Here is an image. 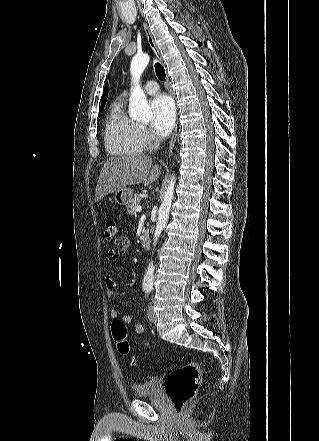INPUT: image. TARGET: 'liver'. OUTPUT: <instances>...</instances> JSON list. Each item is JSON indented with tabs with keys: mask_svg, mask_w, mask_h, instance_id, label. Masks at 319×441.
I'll return each instance as SVG.
<instances>
[{
	"mask_svg": "<svg viewBox=\"0 0 319 441\" xmlns=\"http://www.w3.org/2000/svg\"><path fill=\"white\" fill-rule=\"evenodd\" d=\"M152 158L145 155L110 157L101 169L95 190V200L116 192L128 185L142 182L150 185L161 174L159 165L152 166Z\"/></svg>",
	"mask_w": 319,
	"mask_h": 441,
	"instance_id": "1",
	"label": "liver"
}]
</instances>
